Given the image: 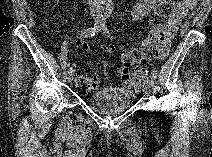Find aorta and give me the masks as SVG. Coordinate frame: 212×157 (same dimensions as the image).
<instances>
[{"label":"aorta","mask_w":212,"mask_h":157,"mask_svg":"<svg viewBox=\"0 0 212 157\" xmlns=\"http://www.w3.org/2000/svg\"><path fill=\"white\" fill-rule=\"evenodd\" d=\"M108 5H110L111 4V1L110 0H108V1H105Z\"/></svg>","instance_id":"aorta-1"}]
</instances>
